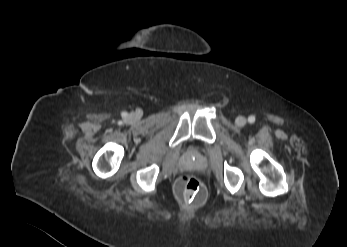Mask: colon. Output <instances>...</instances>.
I'll use <instances>...</instances> for the list:
<instances>
[{
    "label": "colon",
    "instance_id": "colon-1",
    "mask_svg": "<svg viewBox=\"0 0 347 247\" xmlns=\"http://www.w3.org/2000/svg\"><path fill=\"white\" fill-rule=\"evenodd\" d=\"M178 198L181 202L191 205H201L206 199V188L195 176L184 175L175 185Z\"/></svg>",
    "mask_w": 347,
    "mask_h": 247
}]
</instances>
